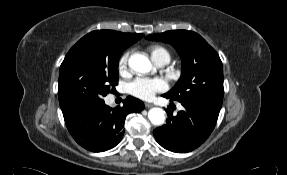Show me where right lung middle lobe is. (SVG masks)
Listing matches in <instances>:
<instances>
[{
	"mask_svg": "<svg viewBox=\"0 0 287 175\" xmlns=\"http://www.w3.org/2000/svg\"><path fill=\"white\" fill-rule=\"evenodd\" d=\"M125 48H101L94 39L81 38L60 66L58 97L61 109L96 102L118 84V62Z\"/></svg>",
	"mask_w": 287,
	"mask_h": 175,
	"instance_id": "obj_1",
	"label": "right lung middle lobe"
}]
</instances>
